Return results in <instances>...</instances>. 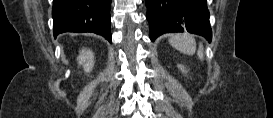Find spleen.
Segmentation results:
<instances>
[{"instance_id": "obj_1", "label": "spleen", "mask_w": 273, "mask_h": 118, "mask_svg": "<svg viewBox=\"0 0 273 118\" xmlns=\"http://www.w3.org/2000/svg\"><path fill=\"white\" fill-rule=\"evenodd\" d=\"M169 43L175 49L187 55H193L196 51V42L194 38L187 34L172 35L169 39ZM197 54L198 57L202 60L204 56L203 46H200Z\"/></svg>"}]
</instances>
